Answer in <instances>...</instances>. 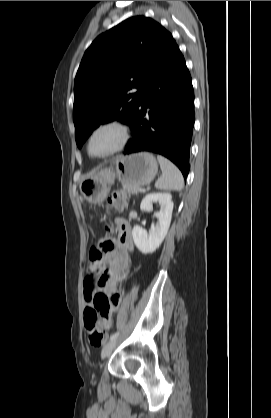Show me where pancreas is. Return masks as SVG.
I'll return each mask as SVG.
<instances>
[{
    "mask_svg": "<svg viewBox=\"0 0 271 418\" xmlns=\"http://www.w3.org/2000/svg\"><path fill=\"white\" fill-rule=\"evenodd\" d=\"M122 186H123V189L130 194H137L140 190V186L134 185L128 182H123Z\"/></svg>",
    "mask_w": 271,
    "mask_h": 418,
    "instance_id": "obj_1",
    "label": "pancreas"
}]
</instances>
